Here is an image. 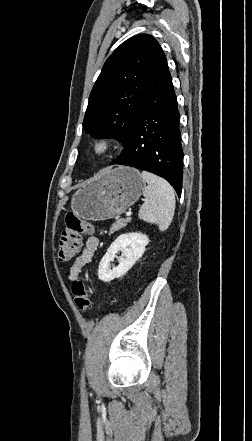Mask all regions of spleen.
Returning a JSON list of instances; mask_svg holds the SVG:
<instances>
[{"mask_svg":"<svg viewBox=\"0 0 252 441\" xmlns=\"http://www.w3.org/2000/svg\"><path fill=\"white\" fill-rule=\"evenodd\" d=\"M141 177L148 186L143 191L146 201L138 216L145 222L158 225L160 231H165L174 216V190L166 180L147 171H142Z\"/></svg>","mask_w":252,"mask_h":441,"instance_id":"obj_1","label":"spleen"}]
</instances>
